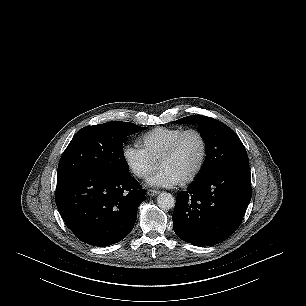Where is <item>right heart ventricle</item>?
Returning <instances> with one entry per match:
<instances>
[{"label":"right heart ventricle","instance_id":"1","mask_svg":"<svg viewBox=\"0 0 306 306\" xmlns=\"http://www.w3.org/2000/svg\"><path fill=\"white\" fill-rule=\"evenodd\" d=\"M182 128L158 127L141 136V143L151 157L159 161Z\"/></svg>","mask_w":306,"mask_h":306}]
</instances>
